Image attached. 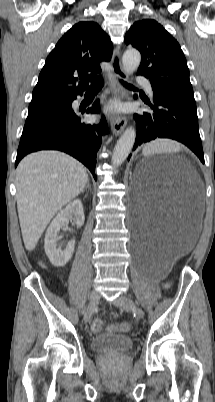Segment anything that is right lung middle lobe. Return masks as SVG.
Here are the masks:
<instances>
[{"instance_id": "1", "label": "right lung middle lobe", "mask_w": 215, "mask_h": 402, "mask_svg": "<svg viewBox=\"0 0 215 402\" xmlns=\"http://www.w3.org/2000/svg\"><path fill=\"white\" fill-rule=\"evenodd\" d=\"M70 102L66 98L31 101L22 135L66 113Z\"/></svg>"}]
</instances>
